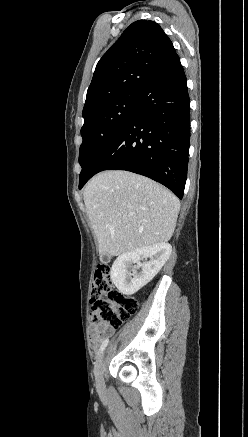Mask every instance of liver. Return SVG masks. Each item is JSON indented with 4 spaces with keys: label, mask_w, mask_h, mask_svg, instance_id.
<instances>
[{
    "label": "liver",
    "mask_w": 248,
    "mask_h": 437,
    "mask_svg": "<svg viewBox=\"0 0 248 437\" xmlns=\"http://www.w3.org/2000/svg\"><path fill=\"white\" fill-rule=\"evenodd\" d=\"M83 197L100 255L117 256L167 242L180 210L169 190L127 171L97 174L86 184Z\"/></svg>",
    "instance_id": "1"
}]
</instances>
